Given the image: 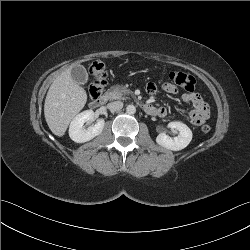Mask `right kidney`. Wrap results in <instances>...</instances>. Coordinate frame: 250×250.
Listing matches in <instances>:
<instances>
[{"mask_svg":"<svg viewBox=\"0 0 250 250\" xmlns=\"http://www.w3.org/2000/svg\"><path fill=\"white\" fill-rule=\"evenodd\" d=\"M94 118L92 110H86L79 113L70 123L69 136L76 143H84L92 140L94 137L100 135L103 131L105 121L100 118L97 123L87 129L83 128L85 122Z\"/></svg>","mask_w":250,"mask_h":250,"instance_id":"obj_1","label":"right kidney"}]
</instances>
